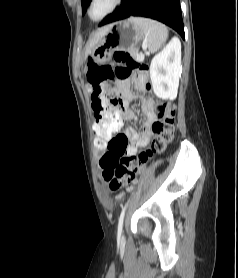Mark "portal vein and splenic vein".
I'll list each match as a JSON object with an SVG mask.
<instances>
[{
	"label": "portal vein and splenic vein",
	"mask_w": 238,
	"mask_h": 278,
	"mask_svg": "<svg viewBox=\"0 0 238 278\" xmlns=\"http://www.w3.org/2000/svg\"><path fill=\"white\" fill-rule=\"evenodd\" d=\"M138 60H144V55L143 54H141L139 57H138Z\"/></svg>",
	"instance_id": "portal-vein-and-splenic-vein-1"
}]
</instances>
